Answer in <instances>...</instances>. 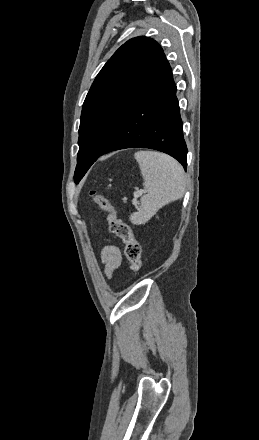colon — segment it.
<instances>
[{"label":"colon","instance_id":"obj_1","mask_svg":"<svg viewBox=\"0 0 259 440\" xmlns=\"http://www.w3.org/2000/svg\"><path fill=\"white\" fill-rule=\"evenodd\" d=\"M89 196L95 204L107 213L110 232L121 239L125 246L124 252L129 261L130 268L134 272H138L142 265V248L138 240L135 238L131 227L117 217L114 207L106 197L98 194L94 190L89 192Z\"/></svg>","mask_w":259,"mask_h":440}]
</instances>
